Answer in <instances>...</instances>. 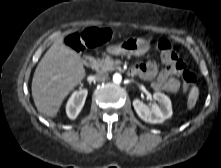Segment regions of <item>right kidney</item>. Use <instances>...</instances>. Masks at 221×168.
<instances>
[{
  "label": "right kidney",
  "mask_w": 221,
  "mask_h": 168,
  "mask_svg": "<svg viewBox=\"0 0 221 168\" xmlns=\"http://www.w3.org/2000/svg\"><path fill=\"white\" fill-rule=\"evenodd\" d=\"M87 94L86 89H81L71 95L66 105V113L70 119H75L78 116L84 106Z\"/></svg>",
  "instance_id": "ca27d5eb"
}]
</instances>
